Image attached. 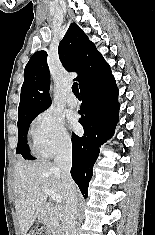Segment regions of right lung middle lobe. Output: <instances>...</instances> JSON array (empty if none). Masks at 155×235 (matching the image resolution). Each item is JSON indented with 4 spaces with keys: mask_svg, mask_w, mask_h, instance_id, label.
<instances>
[{
    "mask_svg": "<svg viewBox=\"0 0 155 235\" xmlns=\"http://www.w3.org/2000/svg\"><path fill=\"white\" fill-rule=\"evenodd\" d=\"M41 112L28 113L18 117V145L16 149L17 154H21L24 159L34 158L30 154V150L26 144V136L30 123Z\"/></svg>",
    "mask_w": 155,
    "mask_h": 235,
    "instance_id": "1",
    "label": "right lung middle lobe"
}]
</instances>
